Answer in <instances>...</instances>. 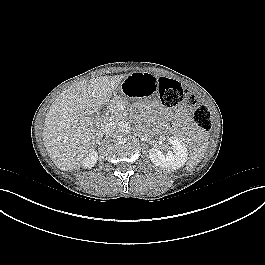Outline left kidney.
Returning a JSON list of instances; mask_svg holds the SVG:
<instances>
[{"mask_svg":"<svg viewBox=\"0 0 265 265\" xmlns=\"http://www.w3.org/2000/svg\"><path fill=\"white\" fill-rule=\"evenodd\" d=\"M169 143L172 145V150L162 152L158 147H153L149 150V157L156 166L176 170L187 161V147L182 140L173 136L169 138Z\"/></svg>","mask_w":265,"mask_h":265,"instance_id":"5707ae66","label":"left kidney"}]
</instances>
